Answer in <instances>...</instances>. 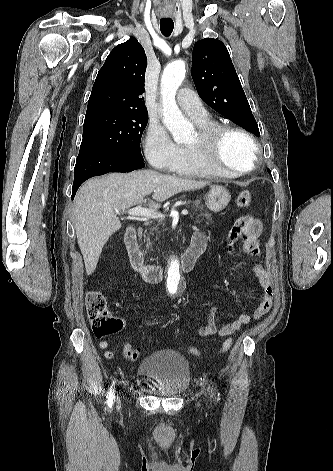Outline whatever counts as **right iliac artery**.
<instances>
[{"instance_id":"82829eb1","label":"right iliac artery","mask_w":333,"mask_h":471,"mask_svg":"<svg viewBox=\"0 0 333 471\" xmlns=\"http://www.w3.org/2000/svg\"><path fill=\"white\" fill-rule=\"evenodd\" d=\"M115 382L116 381H113L112 385L110 386L109 388V391H108V401H107V404L109 406V408L112 407L113 405V400L115 398V394H114V391H115Z\"/></svg>"}]
</instances>
